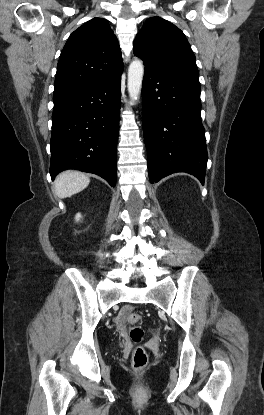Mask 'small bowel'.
<instances>
[{
    "mask_svg": "<svg viewBox=\"0 0 264 415\" xmlns=\"http://www.w3.org/2000/svg\"><path fill=\"white\" fill-rule=\"evenodd\" d=\"M128 311L127 310H122L118 313V315L115 318V324L117 327L122 328L123 323L127 317Z\"/></svg>",
    "mask_w": 264,
    "mask_h": 415,
    "instance_id": "obj_1",
    "label": "small bowel"
}]
</instances>
